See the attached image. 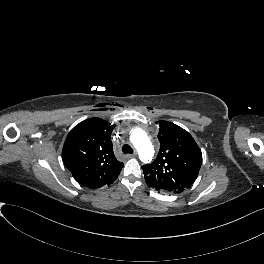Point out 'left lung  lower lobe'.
I'll use <instances>...</instances> for the list:
<instances>
[{"instance_id":"0a47b994","label":"left lung lower lobe","mask_w":264,"mask_h":264,"mask_svg":"<svg viewBox=\"0 0 264 264\" xmlns=\"http://www.w3.org/2000/svg\"><path fill=\"white\" fill-rule=\"evenodd\" d=\"M158 192H161V193H167V192H165V191H162V190H158V189H156Z\"/></svg>"}]
</instances>
